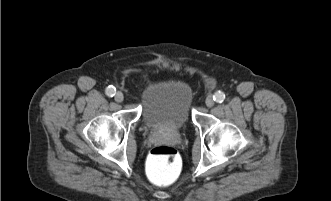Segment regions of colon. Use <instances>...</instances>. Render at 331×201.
<instances>
[{
  "label": "colon",
  "instance_id": "obj_1",
  "mask_svg": "<svg viewBox=\"0 0 331 201\" xmlns=\"http://www.w3.org/2000/svg\"><path fill=\"white\" fill-rule=\"evenodd\" d=\"M182 161L178 151L167 145L155 146L146 161L148 178L158 186L174 183L181 174Z\"/></svg>",
  "mask_w": 331,
  "mask_h": 201
}]
</instances>
